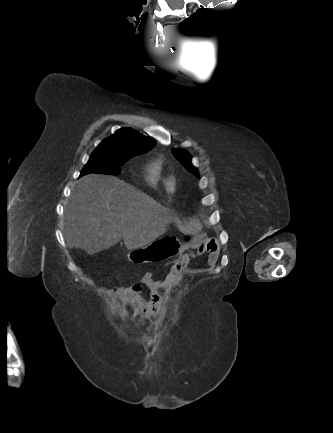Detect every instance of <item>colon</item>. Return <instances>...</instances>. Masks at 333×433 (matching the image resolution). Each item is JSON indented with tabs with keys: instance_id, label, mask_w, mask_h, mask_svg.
<instances>
[{
	"instance_id": "1",
	"label": "colon",
	"mask_w": 333,
	"mask_h": 433,
	"mask_svg": "<svg viewBox=\"0 0 333 433\" xmlns=\"http://www.w3.org/2000/svg\"><path fill=\"white\" fill-rule=\"evenodd\" d=\"M181 239L179 236H160L145 249H126L125 257L129 265H161L162 258H175Z\"/></svg>"
}]
</instances>
